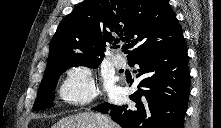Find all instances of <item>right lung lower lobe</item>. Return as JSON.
<instances>
[{
    "label": "right lung lower lobe",
    "mask_w": 221,
    "mask_h": 128,
    "mask_svg": "<svg viewBox=\"0 0 221 128\" xmlns=\"http://www.w3.org/2000/svg\"><path fill=\"white\" fill-rule=\"evenodd\" d=\"M144 76L129 96L131 105L102 104L94 108L108 114L122 128H183L190 92L187 48L178 43L129 61Z\"/></svg>",
    "instance_id": "1"
}]
</instances>
